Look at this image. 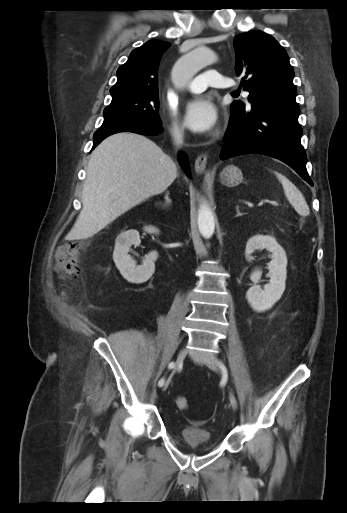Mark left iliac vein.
<instances>
[{
	"label": "left iliac vein",
	"mask_w": 347,
	"mask_h": 513,
	"mask_svg": "<svg viewBox=\"0 0 347 513\" xmlns=\"http://www.w3.org/2000/svg\"><path fill=\"white\" fill-rule=\"evenodd\" d=\"M205 364L213 371L215 372H220L221 369H220V363L218 362V360L216 358H210V359H205L204 360ZM229 398H230V404L232 406V408L234 410L237 409V400L234 396V394L232 392H230L229 394Z\"/></svg>",
	"instance_id": "1"
}]
</instances>
